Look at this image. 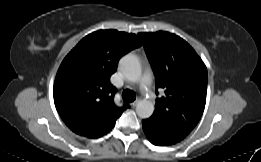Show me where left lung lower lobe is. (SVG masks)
Here are the masks:
<instances>
[{
	"instance_id": "1",
	"label": "left lung lower lobe",
	"mask_w": 261,
	"mask_h": 162,
	"mask_svg": "<svg viewBox=\"0 0 261 162\" xmlns=\"http://www.w3.org/2000/svg\"><path fill=\"white\" fill-rule=\"evenodd\" d=\"M142 124L148 140L157 146L173 145L187 136V134L165 126L152 118L143 120Z\"/></svg>"
}]
</instances>
